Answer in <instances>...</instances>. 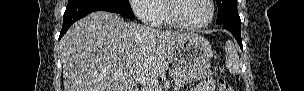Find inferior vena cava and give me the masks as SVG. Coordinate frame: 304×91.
Returning a JSON list of instances; mask_svg holds the SVG:
<instances>
[{"instance_id":"inferior-vena-cava-1","label":"inferior vena cava","mask_w":304,"mask_h":91,"mask_svg":"<svg viewBox=\"0 0 304 91\" xmlns=\"http://www.w3.org/2000/svg\"><path fill=\"white\" fill-rule=\"evenodd\" d=\"M142 91H147V88H146V87H143V88H142Z\"/></svg>"}]
</instances>
